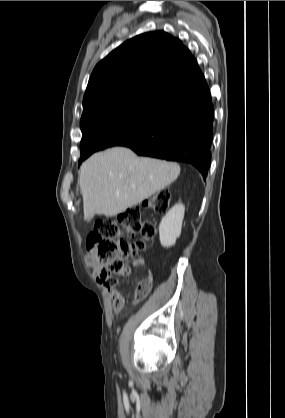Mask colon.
Returning <instances> with one entry per match:
<instances>
[{"label": "colon", "mask_w": 285, "mask_h": 418, "mask_svg": "<svg viewBox=\"0 0 285 418\" xmlns=\"http://www.w3.org/2000/svg\"><path fill=\"white\" fill-rule=\"evenodd\" d=\"M170 194L161 190L148 199V203L138 205L119 214L118 219H99L86 238V253L89 261L97 260L101 264L96 281L104 287L119 284L120 278L130 273L129 259L146 248L144 240L130 242L124 235H142L150 240L156 229L150 222H144L143 216L152 213L163 214L169 203ZM149 293V285L140 281L135 290V299L143 300Z\"/></svg>", "instance_id": "5ec220e1"}]
</instances>
